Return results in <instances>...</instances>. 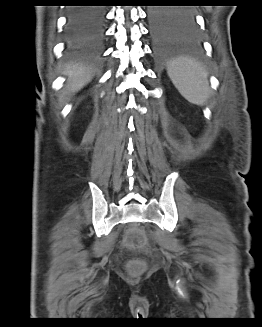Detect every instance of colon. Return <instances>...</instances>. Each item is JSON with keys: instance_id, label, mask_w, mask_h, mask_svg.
Listing matches in <instances>:
<instances>
[{"instance_id": "colon-1", "label": "colon", "mask_w": 262, "mask_h": 327, "mask_svg": "<svg viewBox=\"0 0 262 327\" xmlns=\"http://www.w3.org/2000/svg\"><path fill=\"white\" fill-rule=\"evenodd\" d=\"M128 242H135L137 244H144L145 237L141 231H133L128 235ZM142 266L139 263L130 264V270L132 272H139Z\"/></svg>"}]
</instances>
